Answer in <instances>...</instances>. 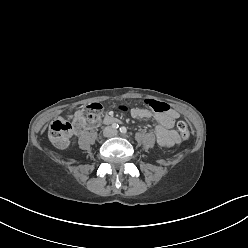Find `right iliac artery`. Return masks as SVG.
<instances>
[{
	"mask_svg": "<svg viewBox=\"0 0 248 248\" xmlns=\"http://www.w3.org/2000/svg\"><path fill=\"white\" fill-rule=\"evenodd\" d=\"M112 127H113L114 129H117V128L119 127V125H118V124H113Z\"/></svg>",
	"mask_w": 248,
	"mask_h": 248,
	"instance_id": "obj_1",
	"label": "right iliac artery"
}]
</instances>
